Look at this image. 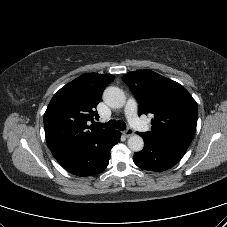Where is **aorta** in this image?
Returning <instances> with one entry per match:
<instances>
[{
    "mask_svg": "<svg viewBox=\"0 0 227 227\" xmlns=\"http://www.w3.org/2000/svg\"><path fill=\"white\" fill-rule=\"evenodd\" d=\"M104 102L111 108H122L126 103L124 92L118 87H108L103 93ZM128 147L133 152H139L144 147V141L139 135H132L127 141Z\"/></svg>",
    "mask_w": 227,
    "mask_h": 227,
    "instance_id": "aorta-1",
    "label": "aorta"
}]
</instances>
